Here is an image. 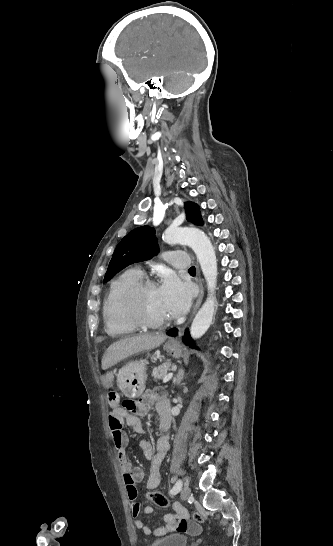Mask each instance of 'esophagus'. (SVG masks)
I'll return each mask as SVG.
<instances>
[{
  "mask_svg": "<svg viewBox=\"0 0 333 546\" xmlns=\"http://www.w3.org/2000/svg\"><path fill=\"white\" fill-rule=\"evenodd\" d=\"M198 285H199V296H198V299L196 301V304L194 306V309H193V312H192V316L195 314V312L197 311V309L199 308L201 302H202V299H203V296H204V287H203V282H202V279L201 277L199 276L198 277ZM191 316V317H192Z\"/></svg>",
  "mask_w": 333,
  "mask_h": 546,
  "instance_id": "1",
  "label": "esophagus"
}]
</instances>
